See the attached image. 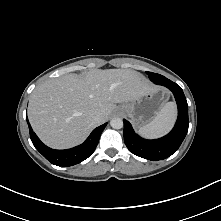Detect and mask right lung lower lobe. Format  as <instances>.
I'll return each mask as SVG.
<instances>
[{
	"label": "right lung lower lobe",
	"mask_w": 221,
	"mask_h": 221,
	"mask_svg": "<svg viewBox=\"0 0 221 221\" xmlns=\"http://www.w3.org/2000/svg\"><path fill=\"white\" fill-rule=\"evenodd\" d=\"M27 119V117H26ZM30 138L35 148L47 159L50 163L57 166H72L87 159L96 149L100 135L107 123L97 127L92 131L90 136L81 145L67 150H54L44 145L37 135L33 132L28 119Z\"/></svg>",
	"instance_id": "1"
}]
</instances>
